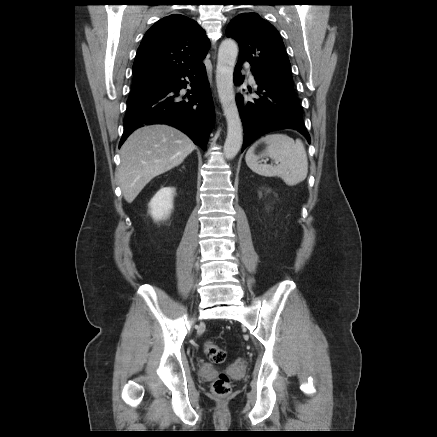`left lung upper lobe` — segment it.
<instances>
[{"instance_id": "obj_1", "label": "left lung upper lobe", "mask_w": 437, "mask_h": 437, "mask_svg": "<svg viewBox=\"0 0 437 437\" xmlns=\"http://www.w3.org/2000/svg\"><path fill=\"white\" fill-rule=\"evenodd\" d=\"M228 37L238 41L239 60L248 61L262 81L294 94L291 66L277 29L257 13H242L226 28Z\"/></svg>"}]
</instances>
